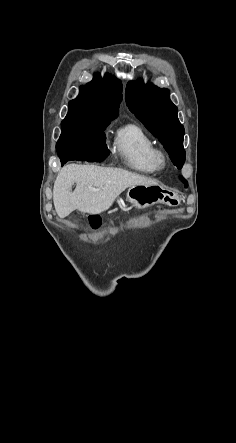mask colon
<instances>
[{
    "instance_id": "colon-1",
    "label": "colon",
    "mask_w": 236,
    "mask_h": 443,
    "mask_svg": "<svg viewBox=\"0 0 236 443\" xmlns=\"http://www.w3.org/2000/svg\"><path fill=\"white\" fill-rule=\"evenodd\" d=\"M89 221H90L92 224H95V223H96V217H95V216H89Z\"/></svg>"
}]
</instances>
